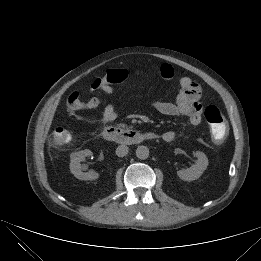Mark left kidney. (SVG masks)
Masks as SVG:
<instances>
[{
  "instance_id": "left-kidney-1",
  "label": "left kidney",
  "mask_w": 261,
  "mask_h": 261,
  "mask_svg": "<svg viewBox=\"0 0 261 261\" xmlns=\"http://www.w3.org/2000/svg\"><path fill=\"white\" fill-rule=\"evenodd\" d=\"M194 155L197 157V161L188 169H182L177 171V175L184 181H193L198 179L208 166L207 156L200 151H196Z\"/></svg>"
}]
</instances>
